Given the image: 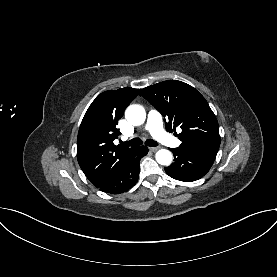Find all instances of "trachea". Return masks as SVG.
I'll return each instance as SVG.
<instances>
[{
	"instance_id": "trachea-1",
	"label": "trachea",
	"mask_w": 277,
	"mask_h": 277,
	"mask_svg": "<svg viewBox=\"0 0 277 277\" xmlns=\"http://www.w3.org/2000/svg\"><path fill=\"white\" fill-rule=\"evenodd\" d=\"M127 146H139L142 144V141L139 138H134L130 141L124 142ZM145 144L147 146L155 147L158 145V143L152 139H148L145 141Z\"/></svg>"
}]
</instances>
